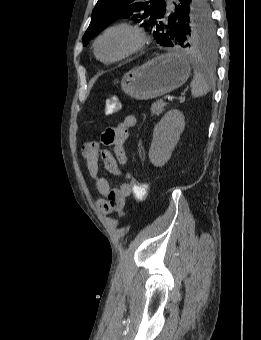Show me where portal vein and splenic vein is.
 <instances>
[{
	"mask_svg": "<svg viewBox=\"0 0 261 340\" xmlns=\"http://www.w3.org/2000/svg\"><path fill=\"white\" fill-rule=\"evenodd\" d=\"M165 100H172L171 96H165Z\"/></svg>",
	"mask_w": 261,
	"mask_h": 340,
	"instance_id": "18ae733b",
	"label": "portal vein and splenic vein"
}]
</instances>
